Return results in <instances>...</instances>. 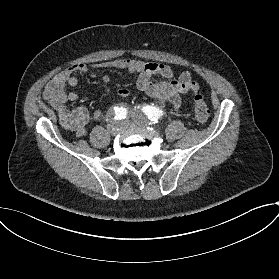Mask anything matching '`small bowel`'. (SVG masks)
Returning <instances> with one entry per match:
<instances>
[{
    "instance_id": "obj_1",
    "label": "small bowel",
    "mask_w": 279,
    "mask_h": 279,
    "mask_svg": "<svg viewBox=\"0 0 279 279\" xmlns=\"http://www.w3.org/2000/svg\"><path fill=\"white\" fill-rule=\"evenodd\" d=\"M98 69L127 70L138 73V88L158 101L169 103L174 111L179 110L182 106L181 94L196 91L199 88L189 71L177 72L175 68L157 62L122 58L91 66L87 64L71 65L47 83L43 99L57 112L60 125L78 137L85 135L90 113L85 107H78L74 110L68 108L70 101L78 99V94L69 91L68 86L73 87L78 84L77 73H91L94 76V70ZM154 76H161L164 80H154ZM109 80L108 75L103 76L105 83H108ZM117 94L126 98L129 96V91L126 88H121ZM101 115L100 109H95L92 113L94 119H99Z\"/></svg>"
}]
</instances>
